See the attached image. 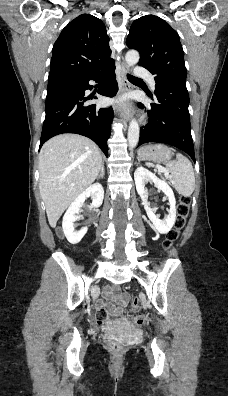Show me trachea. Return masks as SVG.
<instances>
[{
    "label": "trachea",
    "instance_id": "trachea-1",
    "mask_svg": "<svg viewBox=\"0 0 228 396\" xmlns=\"http://www.w3.org/2000/svg\"><path fill=\"white\" fill-rule=\"evenodd\" d=\"M127 77L130 81H142L140 78L134 77L132 75L127 74Z\"/></svg>",
    "mask_w": 228,
    "mask_h": 396
}]
</instances>
